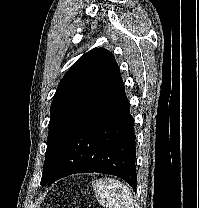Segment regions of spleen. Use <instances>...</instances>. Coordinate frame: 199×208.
Listing matches in <instances>:
<instances>
[{"label": "spleen", "instance_id": "obj_1", "mask_svg": "<svg viewBox=\"0 0 199 208\" xmlns=\"http://www.w3.org/2000/svg\"><path fill=\"white\" fill-rule=\"evenodd\" d=\"M92 187L98 202L108 208H134L130 189L113 178L96 179Z\"/></svg>", "mask_w": 199, "mask_h": 208}]
</instances>
